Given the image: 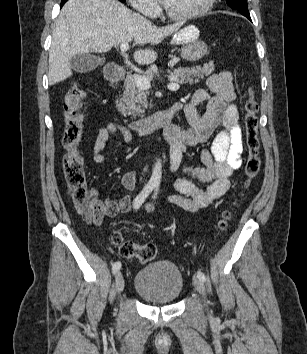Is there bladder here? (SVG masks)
I'll return each instance as SVG.
<instances>
[{
	"label": "bladder",
	"instance_id": "bladder-1",
	"mask_svg": "<svg viewBox=\"0 0 307 354\" xmlns=\"http://www.w3.org/2000/svg\"><path fill=\"white\" fill-rule=\"evenodd\" d=\"M184 280L178 267L170 261L160 260L142 267L136 274V293L152 304H170L181 295Z\"/></svg>",
	"mask_w": 307,
	"mask_h": 354
}]
</instances>
